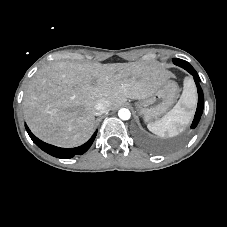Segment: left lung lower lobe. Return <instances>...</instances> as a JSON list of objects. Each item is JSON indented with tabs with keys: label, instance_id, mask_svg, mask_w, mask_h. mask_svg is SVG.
Masks as SVG:
<instances>
[{
	"label": "left lung lower lobe",
	"instance_id": "left-lung-lower-lobe-1",
	"mask_svg": "<svg viewBox=\"0 0 227 227\" xmlns=\"http://www.w3.org/2000/svg\"><path fill=\"white\" fill-rule=\"evenodd\" d=\"M174 64L184 68L186 71H188L195 78L194 80H195V83H196V86H197V91H198V106H197V110H196V113H195V116H194V120H193L192 125H191V129H194L199 123V120H200L202 112H203V105H204L203 91H202L200 84H199L200 78H199L197 72L195 71V69L187 61L177 59L176 61H174Z\"/></svg>",
	"mask_w": 227,
	"mask_h": 227
}]
</instances>
